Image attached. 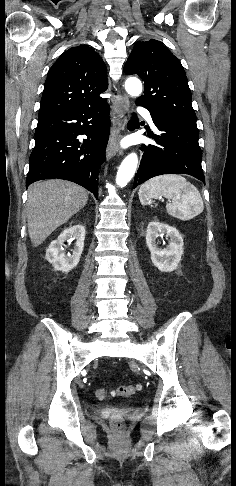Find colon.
<instances>
[{
    "label": "colon",
    "mask_w": 236,
    "mask_h": 486,
    "mask_svg": "<svg viewBox=\"0 0 236 486\" xmlns=\"http://www.w3.org/2000/svg\"><path fill=\"white\" fill-rule=\"evenodd\" d=\"M141 390L140 385H124V386H119L111 391H108L107 389L100 388L96 390L95 396L98 400L103 401L105 400L109 395L112 396H120V397H129L134 394H136L138 391ZM112 425L113 428L116 431H121L123 428V422L122 418L120 415L115 414L112 416Z\"/></svg>",
    "instance_id": "colon-1"
}]
</instances>
